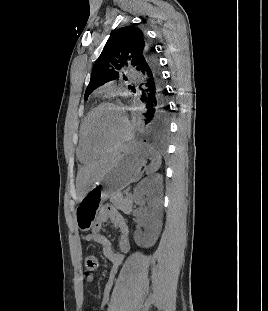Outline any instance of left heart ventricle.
Returning a JSON list of instances; mask_svg holds the SVG:
<instances>
[{"mask_svg":"<svg viewBox=\"0 0 268 311\" xmlns=\"http://www.w3.org/2000/svg\"><path fill=\"white\" fill-rule=\"evenodd\" d=\"M125 121L122 113L112 107L99 110L90 124V139L98 149L114 145L124 134Z\"/></svg>","mask_w":268,"mask_h":311,"instance_id":"left-heart-ventricle-1","label":"left heart ventricle"}]
</instances>
